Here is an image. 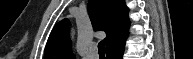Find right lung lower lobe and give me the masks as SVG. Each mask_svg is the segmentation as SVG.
<instances>
[{"instance_id":"obj_1","label":"right lung lower lobe","mask_w":193,"mask_h":59,"mask_svg":"<svg viewBox=\"0 0 193 59\" xmlns=\"http://www.w3.org/2000/svg\"><path fill=\"white\" fill-rule=\"evenodd\" d=\"M125 39L106 50V59H122L125 47Z\"/></svg>"}]
</instances>
